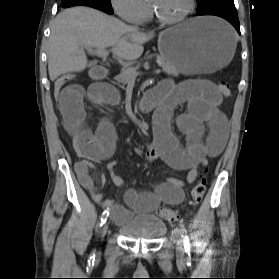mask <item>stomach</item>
<instances>
[{"mask_svg": "<svg viewBox=\"0 0 279 279\" xmlns=\"http://www.w3.org/2000/svg\"><path fill=\"white\" fill-rule=\"evenodd\" d=\"M236 48L234 32L223 21L199 17L166 29L158 38L162 57L184 75L227 69Z\"/></svg>", "mask_w": 279, "mask_h": 279, "instance_id": "obj_1", "label": "stomach"}]
</instances>
